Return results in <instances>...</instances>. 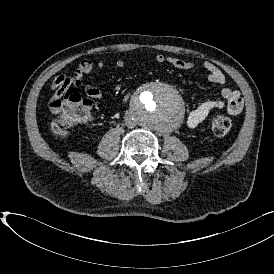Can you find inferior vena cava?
<instances>
[{
    "label": "inferior vena cava",
    "instance_id": "inferior-vena-cava-1",
    "mask_svg": "<svg viewBox=\"0 0 274 274\" xmlns=\"http://www.w3.org/2000/svg\"><path fill=\"white\" fill-rule=\"evenodd\" d=\"M127 125H128L129 127H133V123H132V122H129Z\"/></svg>",
    "mask_w": 274,
    "mask_h": 274
}]
</instances>
